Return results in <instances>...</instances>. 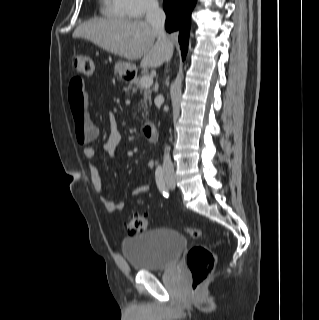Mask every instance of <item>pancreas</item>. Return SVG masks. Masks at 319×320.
<instances>
[{
    "label": "pancreas",
    "mask_w": 319,
    "mask_h": 320,
    "mask_svg": "<svg viewBox=\"0 0 319 320\" xmlns=\"http://www.w3.org/2000/svg\"><path fill=\"white\" fill-rule=\"evenodd\" d=\"M140 90V93L143 94V99L140 101V107L144 109L143 115L147 116L148 114V108L151 106V90L149 87H142L140 84V78H135L132 81H130L128 87H127V94H130V91L133 93H136L137 90Z\"/></svg>",
    "instance_id": "1"
}]
</instances>
